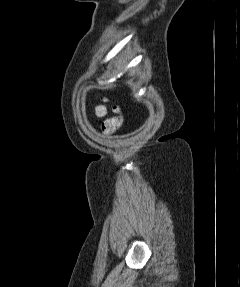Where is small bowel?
<instances>
[{
	"instance_id": "c3829d8e",
	"label": "small bowel",
	"mask_w": 240,
	"mask_h": 287,
	"mask_svg": "<svg viewBox=\"0 0 240 287\" xmlns=\"http://www.w3.org/2000/svg\"><path fill=\"white\" fill-rule=\"evenodd\" d=\"M95 114L98 118H103L107 115V109L103 105H99L95 109Z\"/></svg>"
}]
</instances>
